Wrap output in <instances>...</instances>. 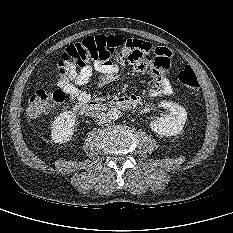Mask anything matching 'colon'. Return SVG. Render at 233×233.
I'll use <instances>...</instances> for the list:
<instances>
[{"label":"colon","mask_w":233,"mask_h":233,"mask_svg":"<svg viewBox=\"0 0 233 233\" xmlns=\"http://www.w3.org/2000/svg\"><path fill=\"white\" fill-rule=\"evenodd\" d=\"M135 47H138L136 40L124 39L118 35L88 37L69 45L62 52L58 62L59 72L78 70L96 62L121 64ZM178 79L192 91L196 93L200 91L199 79L190 66H186L179 72ZM64 100L65 93L61 89H38L29 99L27 114L31 117L39 116Z\"/></svg>","instance_id":"5ec220e1"}]
</instances>
